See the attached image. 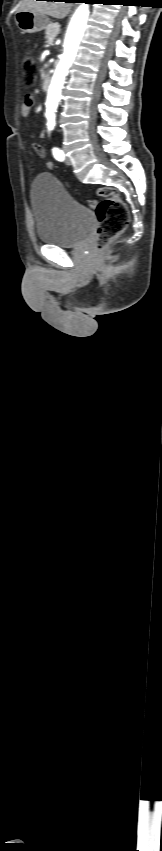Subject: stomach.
<instances>
[{"label": "stomach", "mask_w": 162, "mask_h": 851, "mask_svg": "<svg viewBox=\"0 0 162 851\" xmlns=\"http://www.w3.org/2000/svg\"><path fill=\"white\" fill-rule=\"evenodd\" d=\"M15 22L23 33H35L45 29L49 19L45 15L32 11H18Z\"/></svg>", "instance_id": "0dacf381"}]
</instances>
